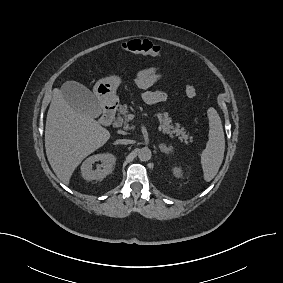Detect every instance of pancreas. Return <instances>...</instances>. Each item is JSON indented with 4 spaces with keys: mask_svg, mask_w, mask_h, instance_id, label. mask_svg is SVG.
Wrapping results in <instances>:
<instances>
[{
    "mask_svg": "<svg viewBox=\"0 0 283 283\" xmlns=\"http://www.w3.org/2000/svg\"><path fill=\"white\" fill-rule=\"evenodd\" d=\"M128 113V106L126 104L121 105L115 121L116 126H123L125 130L129 129V125L127 124ZM155 117H157V120L160 123L159 129L162 130L163 133L169 134L170 136L175 134L179 139L185 140V142H187L188 139H192V137L186 134L185 129L180 127V124H176V126L172 124V119L169 117L167 112L155 114Z\"/></svg>",
    "mask_w": 283,
    "mask_h": 283,
    "instance_id": "pancreas-1",
    "label": "pancreas"
}]
</instances>
